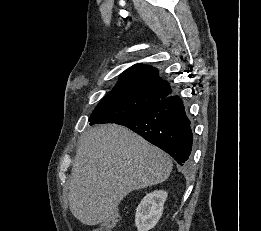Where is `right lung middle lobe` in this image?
I'll use <instances>...</instances> for the list:
<instances>
[{
    "label": "right lung middle lobe",
    "mask_w": 261,
    "mask_h": 231,
    "mask_svg": "<svg viewBox=\"0 0 261 231\" xmlns=\"http://www.w3.org/2000/svg\"><path fill=\"white\" fill-rule=\"evenodd\" d=\"M160 100L158 96L140 88L113 89L96 106L89 118L90 125L116 123L146 110Z\"/></svg>",
    "instance_id": "right-lung-middle-lobe-1"
}]
</instances>
